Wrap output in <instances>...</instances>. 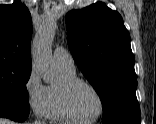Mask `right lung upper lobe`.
Wrapping results in <instances>:
<instances>
[{"label": "right lung upper lobe", "mask_w": 156, "mask_h": 124, "mask_svg": "<svg viewBox=\"0 0 156 124\" xmlns=\"http://www.w3.org/2000/svg\"><path fill=\"white\" fill-rule=\"evenodd\" d=\"M32 20L24 4L0 5V63L31 66Z\"/></svg>", "instance_id": "1"}]
</instances>
